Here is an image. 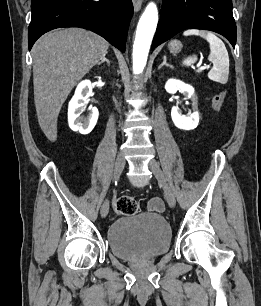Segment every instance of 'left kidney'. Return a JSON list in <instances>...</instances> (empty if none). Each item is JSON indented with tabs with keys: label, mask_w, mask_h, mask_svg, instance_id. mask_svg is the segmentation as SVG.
I'll use <instances>...</instances> for the list:
<instances>
[{
	"label": "left kidney",
	"mask_w": 261,
	"mask_h": 306,
	"mask_svg": "<svg viewBox=\"0 0 261 306\" xmlns=\"http://www.w3.org/2000/svg\"><path fill=\"white\" fill-rule=\"evenodd\" d=\"M165 89L170 94H175L177 91L182 92L187 97L192 98L193 112L189 116L182 115L179 108L174 106L171 110L172 121L176 127L183 130H193L199 123V112L197 106V98L194 94V88L176 79H170L165 84Z\"/></svg>",
	"instance_id": "1"
}]
</instances>
